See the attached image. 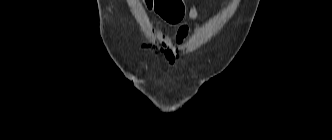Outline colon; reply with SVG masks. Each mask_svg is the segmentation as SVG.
<instances>
[{
  "label": "colon",
  "mask_w": 332,
  "mask_h": 140,
  "mask_svg": "<svg viewBox=\"0 0 332 140\" xmlns=\"http://www.w3.org/2000/svg\"><path fill=\"white\" fill-rule=\"evenodd\" d=\"M149 9L154 10L168 22H176L184 15L183 0H145Z\"/></svg>",
  "instance_id": "1"
}]
</instances>
